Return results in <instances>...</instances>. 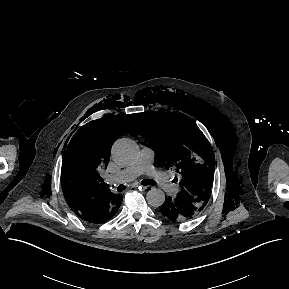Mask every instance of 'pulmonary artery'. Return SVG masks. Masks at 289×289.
<instances>
[{"mask_svg": "<svg viewBox=\"0 0 289 289\" xmlns=\"http://www.w3.org/2000/svg\"><path fill=\"white\" fill-rule=\"evenodd\" d=\"M154 151L150 147H143L137 160L130 166L118 172L116 175H111L108 180L111 183H126L134 180L141 174H148L166 193H174L176 186L171 182L167 175L155 169L153 166Z\"/></svg>", "mask_w": 289, "mask_h": 289, "instance_id": "e3ab8cb5", "label": "pulmonary artery"}]
</instances>
